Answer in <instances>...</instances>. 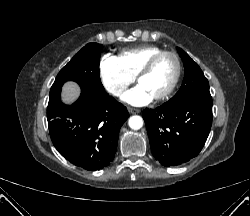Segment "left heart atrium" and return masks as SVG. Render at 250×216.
<instances>
[{
    "instance_id": "left-heart-atrium-1",
    "label": "left heart atrium",
    "mask_w": 250,
    "mask_h": 216,
    "mask_svg": "<svg viewBox=\"0 0 250 216\" xmlns=\"http://www.w3.org/2000/svg\"><path fill=\"white\" fill-rule=\"evenodd\" d=\"M153 99V96L142 85L138 84L136 87L128 91L123 96V101L133 106H143L148 104Z\"/></svg>"
}]
</instances>
